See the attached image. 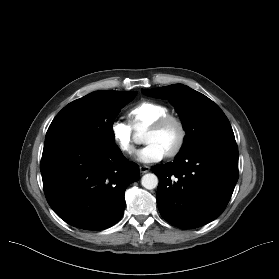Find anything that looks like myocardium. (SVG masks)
I'll list each match as a JSON object with an SVG mask.
<instances>
[{
  "mask_svg": "<svg viewBox=\"0 0 279 279\" xmlns=\"http://www.w3.org/2000/svg\"><path fill=\"white\" fill-rule=\"evenodd\" d=\"M168 124H174L178 128L179 132L177 142L169 151L166 152V156L174 157L183 149L187 139V130L182 119L177 116L167 114L152 122L149 125V129L153 131H159Z\"/></svg>",
  "mask_w": 279,
  "mask_h": 279,
  "instance_id": "1",
  "label": "myocardium"
}]
</instances>
